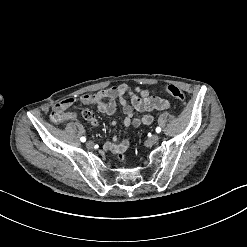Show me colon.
Returning <instances> with one entry per match:
<instances>
[{"instance_id": "5ec220e1", "label": "colon", "mask_w": 247, "mask_h": 247, "mask_svg": "<svg viewBox=\"0 0 247 247\" xmlns=\"http://www.w3.org/2000/svg\"><path fill=\"white\" fill-rule=\"evenodd\" d=\"M164 91L170 95L171 97L185 103L187 101V96L186 93L180 89L177 85L175 84H166L164 86ZM50 118L54 123H59L60 122V118H59V112H52L50 114Z\"/></svg>"}]
</instances>
